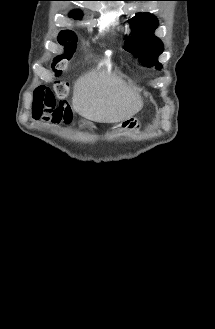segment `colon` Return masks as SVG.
Here are the masks:
<instances>
[{
    "instance_id": "colon-1",
    "label": "colon",
    "mask_w": 215,
    "mask_h": 329,
    "mask_svg": "<svg viewBox=\"0 0 215 329\" xmlns=\"http://www.w3.org/2000/svg\"><path fill=\"white\" fill-rule=\"evenodd\" d=\"M59 44L62 51L56 55L53 61V72L56 77L54 92L49 90L48 86H35V99L31 109L32 114H69L70 108L67 107L68 96L67 85L60 80L67 65L73 55V49L78 48L82 39L79 37V31H58Z\"/></svg>"
}]
</instances>
